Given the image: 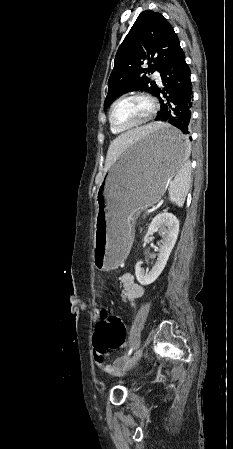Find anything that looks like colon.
<instances>
[{
    "label": "colon",
    "mask_w": 233,
    "mask_h": 449,
    "mask_svg": "<svg viewBox=\"0 0 233 449\" xmlns=\"http://www.w3.org/2000/svg\"><path fill=\"white\" fill-rule=\"evenodd\" d=\"M101 319L96 326L93 334V345L95 351L101 355H105L110 350L121 348L127 339V329L120 316L107 315L101 312Z\"/></svg>",
    "instance_id": "5ec220e1"
}]
</instances>
